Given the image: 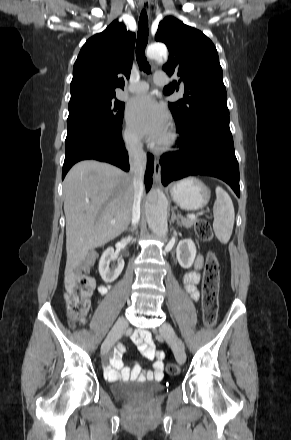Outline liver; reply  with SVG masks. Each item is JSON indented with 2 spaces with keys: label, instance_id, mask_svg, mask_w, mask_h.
I'll list each match as a JSON object with an SVG mask.
<instances>
[{
  "label": "liver",
  "instance_id": "liver-1",
  "mask_svg": "<svg viewBox=\"0 0 291 440\" xmlns=\"http://www.w3.org/2000/svg\"><path fill=\"white\" fill-rule=\"evenodd\" d=\"M63 194L68 275L90 249L106 244L128 228L134 203L133 179L110 164L85 160L67 173Z\"/></svg>",
  "mask_w": 291,
  "mask_h": 440
}]
</instances>
